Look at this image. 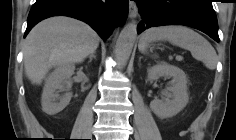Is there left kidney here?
Here are the masks:
<instances>
[{
    "label": "left kidney",
    "instance_id": "1",
    "mask_svg": "<svg viewBox=\"0 0 236 140\" xmlns=\"http://www.w3.org/2000/svg\"><path fill=\"white\" fill-rule=\"evenodd\" d=\"M160 77L173 78L167 88L172 94V99L163 101L155 98L151 101L150 108L160 118L172 117L184 109L188 103L187 77L180 68L165 62L148 69L147 81H155Z\"/></svg>",
    "mask_w": 236,
    "mask_h": 140
}]
</instances>
